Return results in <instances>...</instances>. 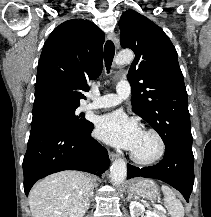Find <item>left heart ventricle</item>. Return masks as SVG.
<instances>
[{
	"label": "left heart ventricle",
	"instance_id": "left-heart-ventricle-1",
	"mask_svg": "<svg viewBox=\"0 0 211 217\" xmlns=\"http://www.w3.org/2000/svg\"><path fill=\"white\" fill-rule=\"evenodd\" d=\"M158 148L156 138L151 134L142 132L136 147L132 151L141 158H150L157 153Z\"/></svg>",
	"mask_w": 211,
	"mask_h": 217
}]
</instances>
